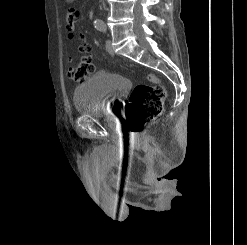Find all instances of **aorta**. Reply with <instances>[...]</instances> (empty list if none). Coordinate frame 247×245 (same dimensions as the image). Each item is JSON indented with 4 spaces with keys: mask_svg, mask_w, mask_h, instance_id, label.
Returning a JSON list of instances; mask_svg holds the SVG:
<instances>
[{
    "mask_svg": "<svg viewBox=\"0 0 247 245\" xmlns=\"http://www.w3.org/2000/svg\"><path fill=\"white\" fill-rule=\"evenodd\" d=\"M99 22H100L99 20H95V21H94L95 24H97V23H99Z\"/></svg>",
    "mask_w": 247,
    "mask_h": 245,
    "instance_id": "obj_1",
    "label": "aorta"
}]
</instances>
